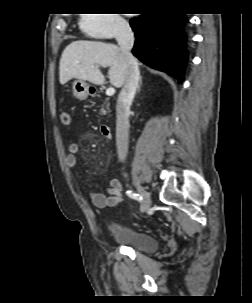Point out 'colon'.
Listing matches in <instances>:
<instances>
[{
    "instance_id": "1",
    "label": "colon",
    "mask_w": 252,
    "mask_h": 303,
    "mask_svg": "<svg viewBox=\"0 0 252 303\" xmlns=\"http://www.w3.org/2000/svg\"><path fill=\"white\" fill-rule=\"evenodd\" d=\"M61 123L65 126H68L71 124V115L67 111H63L60 114Z\"/></svg>"
}]
</instances>
